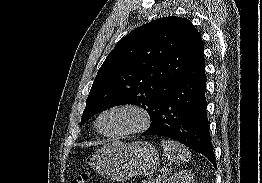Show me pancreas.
<instances>
[{"label": "pancreas", "mask_w": 262, "mask_h": 183, "mask_svg": "<svg viewBox=\"0 0 262 183\" xmlns=\"http://www.w3.org/2000/svg\"><path fill=\"white\" fill-rule=\"evenodd\" d=\"M163 176V175H162ZM161 176V177H162ZM165 177V176H164ZM164 177L162 179H164ZM142 183H161V181H158L157 179H151V180H147V181H143Z\"/></svg>", "instance_id": "1"}]
</instances>
